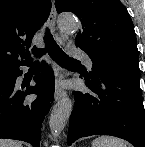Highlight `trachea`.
I'll list each match as a JSON object with an SVG mask.
<instances>
[{
    "instance_id": "obj_1",
    "label": "trachea",
    "mask_w": 145,
    "mask_h": 147,
    "mask_svg": "<svg viewBox=\"0 0 145 147\" xmlns=\"http://www.w3.org/2000/svg\"><path fill=\"white\" fill-rule=\"evenodd\" d=\"M44 42H45V48L38 49L34 47L32 49L33 53H35L36 56H41L45 54L47 50L50 57L61 66H71L79 63V61L72 59L65 54V52L58 46V44L56 43V41L54 40L52 34L49 32L48 29L46 30L44 36ZM38 64L39 63L37 61L33 63V65H38Z\"/></svg>"
}]
</instances>
